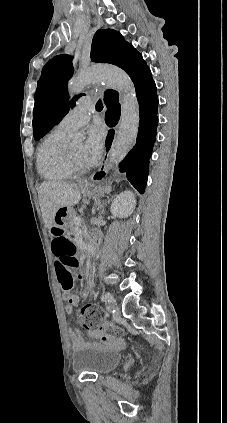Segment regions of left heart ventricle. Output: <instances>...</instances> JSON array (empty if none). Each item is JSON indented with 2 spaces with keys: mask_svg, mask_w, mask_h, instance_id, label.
Here are the masks:
<instances>
[{
  "mask_svg": "<svg viewBox=\"0 0 227 423\" xmlns=\"http://www.w3.org/2000/svg\"><path fill=\"white\" fill-rule=\"evenodd\" d=\"M73 155L83 164L84 160H83V151H84V145L83 143H78L76 145H74L72 148H70Z\"/></svg>",
  "mask_w": 227,
  "mask_h": 423,
  "instance_id": "left-heart-ventricle-1",
  "label": "left heart ventricle"
}]
</instances>
